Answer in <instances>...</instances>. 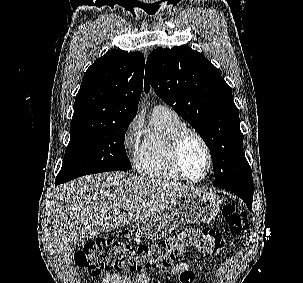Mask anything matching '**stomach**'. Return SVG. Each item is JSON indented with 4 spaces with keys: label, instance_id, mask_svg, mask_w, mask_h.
Segmentation results:
<instances>
[{
    "label": "stomach",
    "instance_id": "obj_1",
    "mask_svg": "<svg viewBox=\"0 0 303 283\" xmlns=\"http://www.w3.org/2000/svg\"><path fill=\"white\" fill-rule=\"evenodd\" d=\"M221 201L215 194L199 191L178 197L164 209L137 222L138 234L148 240L168 236L180 224L210 222L220 212Z\"/></svg>",
    "mask_w": 303,
    "mask_h": 283
}]
</instances>
